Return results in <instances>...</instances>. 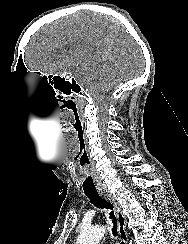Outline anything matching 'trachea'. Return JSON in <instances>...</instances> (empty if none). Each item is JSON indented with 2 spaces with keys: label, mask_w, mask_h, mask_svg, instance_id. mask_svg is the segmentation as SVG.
<instances>
[{
  "label": "trachea",
  "mask_w": 188,
  "mask_h": 244,
  "mask_svg": "<svg viewBox=\"0 0 188 244\" xmlns=\"http://www.w3.org/2000/svg\"><path fill=\"white\" fill-rule=\"evenodd\" d=\"M82 186L84 188V193L85 195L89 198L90 202L96 206L97 208L100 209H106V210H110L109 212V218L112 221L113 227L111 229L113 236H117V219L114 215V211H113V206L112 204L103 199L99 193H98V189L96 188V183L95 180H82ZM123 244V242L121 243Z\"/></svg>",
  "instance_id": "1"
}]
</instances>
